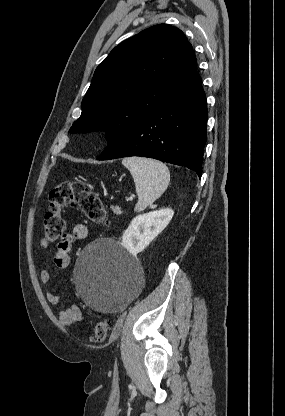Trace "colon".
<instances>
[{"mask_svg":"<svg viewBox=\"0 0 285 416\" xmlns=\"http://www.w3.org/2000/svg\"><path fill=\"white\" fill-rule=\"evenodd\" d=\"M48 202L49 209L44 218L42 246L54 243L63 235L65 230L63 212L67 206L78 207L95 224H104L107 221V213L100 197L80 182L59 183L50 191ZM109 331V320L100 319L93 328L91 338L94 342H101L105 340Z\"/></svg>","mask_w":285,"mask_h":416,"instance_id":"colon-1","label":"colon"}]
</instances>
